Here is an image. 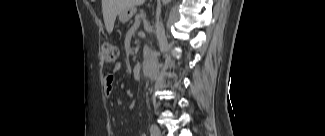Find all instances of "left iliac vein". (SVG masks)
<instances>
[{
  "mask_svg": "<svg viewBox=\"0 0 325 136\" xmlns=\"http://www.w3.org/2000/svg\"><path fill=\"white\" fill-rule=\"evenodd\" d=\"M154 126H155V128L158 129V132H159V134H158L157 136H162V134H161V132H160V129H159L156 125H154Z\"/></svg>",
  "mask_w": 325,
  "mask_h": 136,
  "instance_id": "obj_1",
  "label": "left iliac vein"
}]
</instances>
